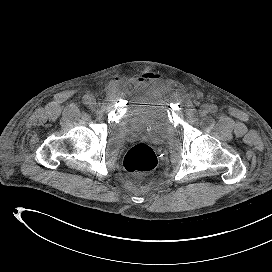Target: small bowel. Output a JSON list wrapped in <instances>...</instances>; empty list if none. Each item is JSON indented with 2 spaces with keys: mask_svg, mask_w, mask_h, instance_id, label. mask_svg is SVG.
<instances>
[{
  "mask_svg": "<svg viewBox=\"0 0 272 272\" xmlns=\"http://www.w3.org/2000/svg\"><path fill=\"white\" fill-rule=\"evenodd\" d=\"M117 79H118V78H117ZM135 80L138 81V82H141V81H143L144 79L140 76V77H137Z\"/></svg>",
  "mask_w": 272,
  "mask_h": 272,
  "instance_id": "small-bowel-1",
  "label": "small bowel"
}]
</instances>
